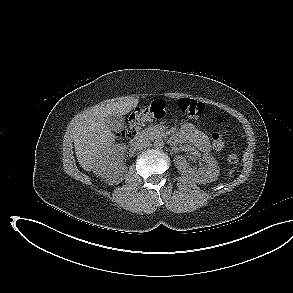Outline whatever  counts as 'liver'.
Masks as SVG:
<instances>
[{
	"label": "liver",
	"mask_w": 293,
	"mask_h": 293,
	"mask_svg": "<svg viewBox=\"0 0 293 293\" xmlns=\"http://www.w3.org/2000/svg\"><path fill=\"white\" fill-rule=\"evenodd\" d=\"M139 103L137 98L124 97L117 102L95 106L76 116L71 134L80 166L104 177L107 169L119 168L127 146L115 143L116 136L105 124L109 115L123 116Z\"/></svg>",
	"instance_id": "liver-1"
}]
</instances>
